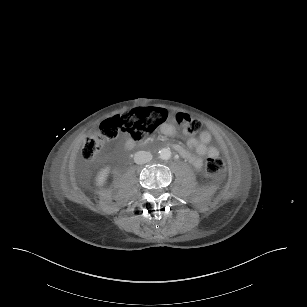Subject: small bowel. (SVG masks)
<instances>
[{"label":"small bowel","instance_id":"1","mask_svg":"<svg viewBox=\"0 0 307 307\" xmlns=\"http://www.w3.org/2000/svg\"><path fill=\"white\" fill-rule=\"evenodd\" d=\"M161 132L166 136H173L176 133L175 128L172 125L164 124L161 127ZM212 141V135L209 131H203L199 137H189L187 140V147L195 151L199 156H216L219 154V150L216 147L210 146ZM132 144V142H129ZM173 148L185 159H187L194 168L200 169L202 167V160L200 157L193 155L183 146L174 144Z\"/></svg>","mask_w":307,"mask_h":307}]
</instances>
